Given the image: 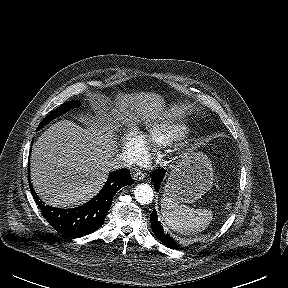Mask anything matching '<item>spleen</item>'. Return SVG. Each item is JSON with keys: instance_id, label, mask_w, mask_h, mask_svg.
Instances as JSON below:
<instances>
[{"instance_id": "spleen-1", "label": "spleen", "mask_w": 288, "mask_h": 288, "mask_svg": "<svg viewBox=\"0 0 288 288\" xmlns=\"http://www.w3.org/2000/svg\"><path fill=\"white\" fill-rule=\"evenodd\" d=\"M161 215L170 229L183 235L205 230L213 218L211 210L190 208L170 198L161 200Z\"/></svg>"}]
</instances>
